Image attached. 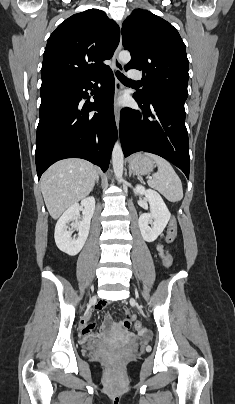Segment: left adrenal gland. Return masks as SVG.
Listing matches in <instances>:
<instances>
[{
  "instance_id": "obj_1",
  "label": "left adrenal gland",
  "mask_w": 235,
  "mask_h": 404,
  "mask_svg": "<svg viewBox=\"0 0 235 404\" xmlns=\"http://www.w3.org/2000/svg\"><path fill=\"white\" fill-rule=\"evenodd\" d=\"M131 175H132V171H131V170H129V176L131 177Z\"/></svg>"
}]
</instances>
